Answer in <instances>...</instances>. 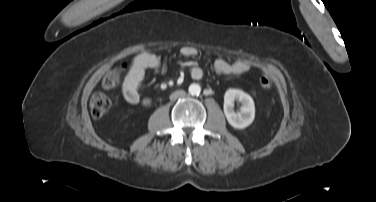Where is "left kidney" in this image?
<instances>
[{"instance_id": "1", "label": "left kidney", "mask_w": 376, "mask_h": 202, "mask_svg": "<svg viewBox=\"0 0 376 202\" xmlns=\"http://www.w3.org/2000/svg\"><path fill=\"white\" fill-rule=\"evenodd\" d=\"M234 100L241 103L240 112H235ZM223 109L229 124L237 129L246 128L255 117V105L252 97L239 89H228L225 92Z\"/></svg>"}]
</instances>
